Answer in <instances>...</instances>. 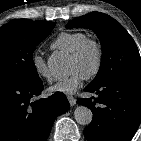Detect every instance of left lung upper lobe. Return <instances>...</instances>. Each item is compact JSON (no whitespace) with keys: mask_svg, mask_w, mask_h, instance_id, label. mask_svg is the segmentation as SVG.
<instances>
[{"mask_svg":"<svg viewBox=\"0 0 141 141\" xmlns=\"http://www.w3.org/2000/svg\"><path fill=\"white\" fill-rule=\"evenodd\" d=\"M90 28L100 39L102 60L100 69L90 85L123 78H141V58L129 33L112 17L93 12L76 18L66 28Z\"/></svg>","mask_w":141,"mask_h":141,"instance_id":"left-lung-upper-lobe-1","label":"left lung upper lobe"}]
</instances>
